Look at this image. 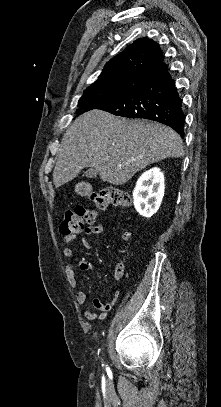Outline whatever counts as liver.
I'll return each instance as SVG.
<instances>
[{"mask_svg": "<svg viewBox=\"0 0 221 407\" xmlns=\"http://www.w3.org/2000/svg\"><path fill=\"white\" fill-rule=\"evenodd\" d=\"M183 155V141L170 127L95 109L80 115L64 133L53 183L58 188L83 168L94 167L102 181L123 185L146 166Z\"/></svg>", "mask_w": 221, "mask_h": 407, "instance_id": "6515ba94", "label": "liver"}]
</instances>
